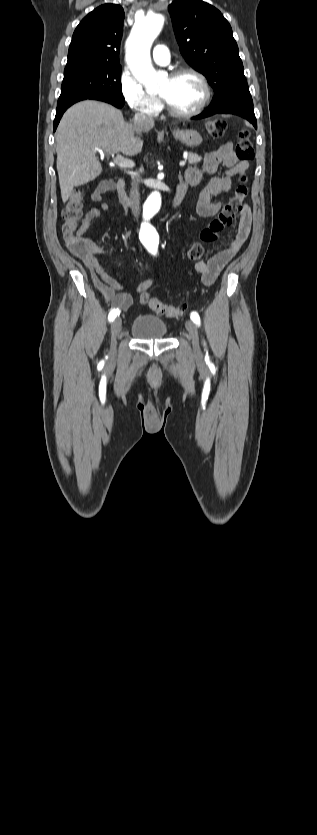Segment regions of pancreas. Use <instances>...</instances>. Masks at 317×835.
I'll use <instances>...</instances> for the list:
<instances>
[{
	"instance_id": "pancreas-1",
	"label": "pancreas",
	"mask_w": 317,
	"mask_h": 835,
	"mask_svg": "<svg viewBox=\"0 0 317 835\" xmlns=\"http://www.w3.org/2000/svg\"><path fill=\"white\" fill-rule=\"evenodd\" d=\"M201 160H202V157L197 155V154H194V153H189L188 156H187V161L189 162L190 165L197 164Z\"/></svg>"
}]
</instances>
